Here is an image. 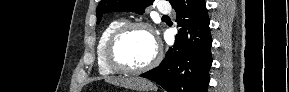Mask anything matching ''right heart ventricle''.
<instances>
[{
    "instance_id": "right-heart-ventricle-1",
    "label": "right heart ventricle",
    "mask_w": 289,
    "mask_h": 92,
    "mask_svg": "<svg viewBox=\"0 0 289 92\" xmlns=\"http://www.w3.org/2000/svg\"><path fill=\"white\" fill-rule=\"evenodd\" d=\"M124 23L122 19H115L110 21L102 30L97 47H96V59H97V67L98 71L101 75H113L116 74L117 71L112 69L106 61L105 58V48L108 39L110 38L111 34L120 26Z\"/></svg>"
}]
</instances>
